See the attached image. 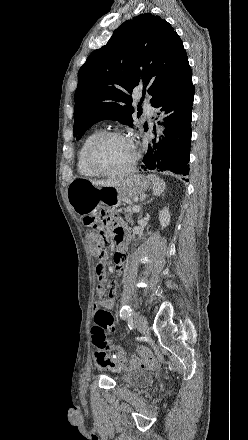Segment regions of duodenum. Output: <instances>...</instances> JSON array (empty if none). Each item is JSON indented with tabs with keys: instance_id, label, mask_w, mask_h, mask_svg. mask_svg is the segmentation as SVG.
I'll return each instance as SVG.
<instances>
[{
	"instance_id": "410a0bca",
	"label": "duodenum",
	"mask_w": 248,
	"mask_h": 440,
	"mask_svg": "<svg viewBox=\"0 0 248 440\" xmlns=\"http://www.w3.org/2000/svg\"><path fill=\"white\" fill-rule=\"evenodd\" d=\"M127 250V247L125 245H119V252L121 254H124Z\"/></svg>"
}]
</instances>
